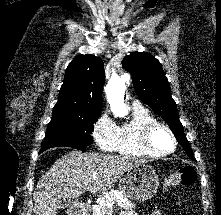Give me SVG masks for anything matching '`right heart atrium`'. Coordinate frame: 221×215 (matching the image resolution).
<instances>
[{
	"label": "right heart atrium",
	"instance_id": "1",
	"mask_svg": "<svg viewBox=\"0 0 221 215\" xmlns=\"http://www.w3.org/2000/svg\"><path fill=\"white\" fill-rule=\"evenodd\" d=\"M92 136L97 146L106 152L115 150L118 136V125L108 112H103L95 121Z\"/></svg>",
	"mask_w": 221,
	"mask_h": 215
}]
</instances>
